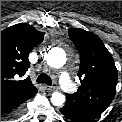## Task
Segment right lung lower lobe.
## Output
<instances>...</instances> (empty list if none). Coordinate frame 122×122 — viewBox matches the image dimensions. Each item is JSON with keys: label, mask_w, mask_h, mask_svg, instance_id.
<instances>
[{"label": "right lung lower lobe", "mask_w": 122, "mask_h": 122, "mask_svg": "<svg viewBox=\"0 0 122 122\" xmlns=\"http://www.w3.org/2000/svg\"><path fill=\"white\" fill-rule=\"evenodd\" d=\"M37 93V92H36ZM35 93V94H36ZM35 94L26 98H18L11 95H4L1 97V117H13L20 113L23 103Z\"/></svg>", "instance_id": "obj_1"}]
</instances>
